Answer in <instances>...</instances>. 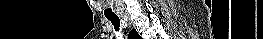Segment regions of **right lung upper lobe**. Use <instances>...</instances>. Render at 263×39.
<instances>
[{"label": "right lung upper lobe", "mask_w": 263, "mask_h": 39, "mask_svg": "<svg viewBox=\"0 0 263 39\" xmlns=\"http://www.w3.org/2000/svg\"><path fill=\"white\" fill-rule=\"evenodd\" d=\"M129 35H132L134 38L139 37V35L137 34V32L135 30H132Z\"/></svg>", "instance_id": "obj_1"}]
</instances>
